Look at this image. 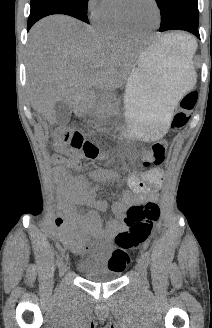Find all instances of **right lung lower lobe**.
I'll return each instance as SVG.
<instances>
[{"mask_svg":"<svg viewBox=\"0 0 212 328\" xmlns=\"http://www.w3.org/2000/svg\"><path fill=\"white\" fill-rule=\"evenodd\" d=\"M52 14H65L86 22V19L76 9L65 4L53 3H38L31 6L30 15L28 18L27 30L39 19L52 15ZM87 23V22H86Z\"/></svg>","mask_w":212,"mask_h":328,"instance_id":"obj_1","label":"right lung lower lobe"}]
</instances>
